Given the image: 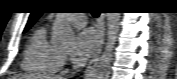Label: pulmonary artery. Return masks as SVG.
I'll return each instance as SVG.
<instances>
[{"instance_id": "pulmonary-artery-1", "label": "pulmonary artery", "mask_w": 177, "mask_h": 79, "mask_svg": "<svg viewBox=\"0 0 177 79\" xmlns=\"http://www.w3.org/2000/svg\"><path fill=\"white\" fill-rule=\"evenodd\" d=\"M67 20L72 24L85 25L87 18L84 14H70L66 15Z\"/></svg>"}]
</instances>
